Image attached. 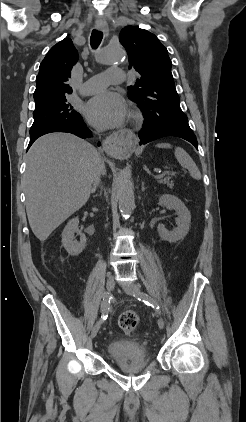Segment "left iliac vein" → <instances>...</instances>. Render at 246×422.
<instances>
[{
  "mask_svg": "<svg viewBox=\"0 0 246 422\" xmlns=\"http://www.w3.org/2000/svg\"><path fill=\"white\" fill-rule=\"evenodd\" d=\"M124 292L128 295H133L139 293V287L135 284H127L122 286ZM158 327L160 329L164 328V320L162 318H159L157 321Z\"/></svg>",
  "mask_w": 246,
  "mask_h": 422,
  "instance_id": "obj_1",
  "label": "left iliac vein"
}]
</instances>
